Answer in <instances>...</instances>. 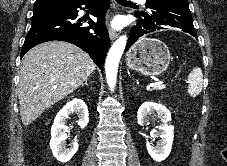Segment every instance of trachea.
Listing matches in <instances>:
<instances>
[{
    "mask_svg": "<svg viewBox=\"0 0 227 166\" xmlns=\"http://www.w3.org/2000/svg\"><path fill=\"white\" fill-rule=\"evenodd\" d=\"M116 1L120 4H133L132 2L127 1V0H116Z\"/></svg>",
    "mask_w": 227,
    "mask_h": 166,
    "instance_id": "1",
    "label": "trachea"
}]
</instances>
